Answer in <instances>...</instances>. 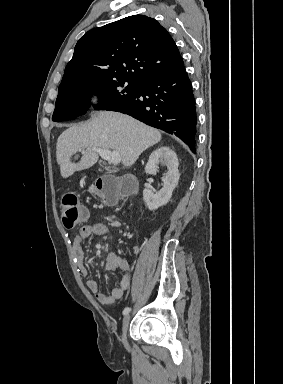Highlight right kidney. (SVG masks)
Masks as SVG:
<instances>
[{
	"instance_id": "right-kidney-1",
	"label": "right kidney",
	"mask_w": 283,
	"mask_h": 384,
	"mask_svg": "<svg viewBox=\"0 0 283 384\" xmlns=\"http://www.w3.org/2000/svg\"><path fill=\"white\" fill-rule=\"evenodd\" d=\"M157 164L167 166V172L163 174V188L158 194H153L152 190H148V188L143 190V198L149 210H157L160 206H165L179 182L178 158L168 146H161V148H157L155 152H152L146 164V174H157L159 172Z\"/></svg>"
}]
</instances>
